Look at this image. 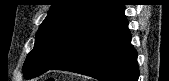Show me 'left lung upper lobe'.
<instances>
[{"label":"left lung upper lobe","mask_w":169,"mask_h":81,"mask_svg":"<svg viewBox=\"0 0 169 81\" xmlns=\"http://www.w3.org/2000/svg\"><path fill=\"white\" fill-rule=\"evenodd\" d=\"M117 0H55L40 25L33 50L23 65L26 79L50 70L78 34L108 11Z\"/></svg>","instance_id":"1"}]
</instances>
